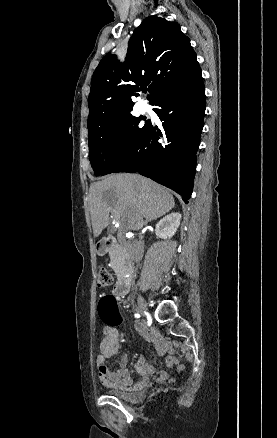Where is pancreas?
I'll return each instance as SVG.
<instances>
[{"label":"pancreas","mask_w":277,"mask_h":438,"mask_svg":"<svg viewBox=\"0 0 277 438\" xmlns=\"http://www.w3.org/2000/svg\"><path fill=\"white\" fill-rule=\"evenodd\" d=\"M107 239H98L96 244H104V253H110V267L112 270H119L120 267L125 266V259L123 258L122 251H115L116 247L112 239H114L115 234L112 231L107 232Z\"/></svg>","instance_id":"pancreas-1"}]
</instances>
